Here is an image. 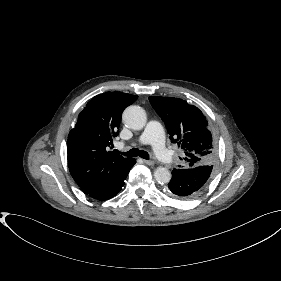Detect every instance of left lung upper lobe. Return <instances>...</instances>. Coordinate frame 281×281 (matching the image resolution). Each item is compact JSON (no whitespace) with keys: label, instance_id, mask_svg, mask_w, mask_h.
Wrapping results in <instances>:
<instances>
[{"label":"left lung upper lobe","instance_id":"left-lung-upper-lobe-1","mask_svg":"<svg viewBox=\"0 0 281 281\" xmlns=\"http://www.w3.org/2000/svg\"><path fill=\"white\" fill-rule=\"evenodd\" d=\"M149 101L165 123L172 143L183 151V158H180L183 165L178 169L215 164L216 153L208 122L197 107L172 97L151 96Z\"/></svg>","mask_w":281,"mask_h":281}]
</instances>
